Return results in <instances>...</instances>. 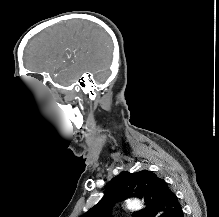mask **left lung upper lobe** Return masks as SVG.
I'll list each match as a JSON object with an SVG mask.
<instances>
[{
	"label": "left lung upper lobe",
	"instance_id": "5c2ea615",
	"mask_svg": "<svg viewBox=\"0 0 219 217\" xmlns=\"http://www.w3.org/2000/svg\"><path fill=\"white\" fill-rule=\"evenodd\" d=\"M129 197H143L147 205L133 217H173L180 207L175 193L155 173L122 171L109 182L104 197L81 217H111L113 205Z\"/></svg>",
	"mask_w": 219,
	"mask_h": 217
}]
</instances>
